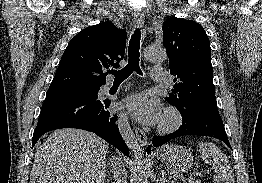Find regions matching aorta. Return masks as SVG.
Wrapping results in <instances>:
<instances>
[{
    "label": "aorta",
    "mask_w": 262,
    "mask_h": 183,
    "mask_svg": "<svg viewBox=\"0 0 262 183\" xmlns=\"http://www.w3.org/2000/svg\"><path fill=\"white\" fill-rule=\"evenodd\" d=\"M144 57L152 63H162L167 59L166 51L162 47L149 45L146 47ZM118 127L122 138L128 148L134 153L137 161V181L138 183H147L148 166L143 159L142 150L136 140L135 134L132 131L126 114L119 115Z\"/></svg>",
    "instance_id": "obj_1"
}]
</instances>
